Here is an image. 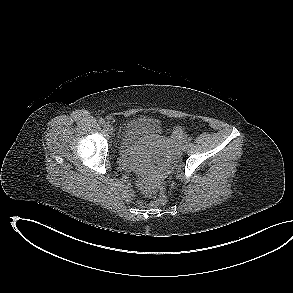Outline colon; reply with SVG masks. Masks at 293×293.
Instances as JSON below:
<instances>
[{
    "label": "colon",
    "mask_w": 293,
    "mask_h": 293,
    "mask_svg": "<svg viewBox=\"0 0 293 293\" xmlns=\"http://www.w3.org/2000/svg\"><path fill=\"white\" fill-rule=\"evenodd\" d=\"M181 133H182V128L177 127L174 129V134L176 136L181 135ZM145 194L147 196H153V195L157 196L156 199H154L153 201L149 203V205L151 206H161L166 203L167 197L163 187H148L145 189Z\"/></svg>",
    "instance_id": "5ec220e1"
}]
</instances>
